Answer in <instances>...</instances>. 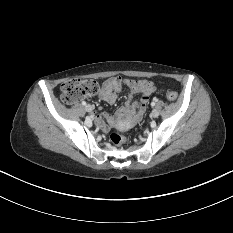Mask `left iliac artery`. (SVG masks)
<instances>
[{"label": "left iliac artery", "instance_id": "1", "mask_svg": "<svg viewBox=\"0 0 233 233\" xmlns=\"http://www.w3.org/2000/svg\"><path fill=\"white\" fill-rule=\"evenodd\" d=\"M151 106H155V103H154V102H152V103H151Z\"/></svg>", "mask_w": 233, "mask_h": 233}]
</instances>
